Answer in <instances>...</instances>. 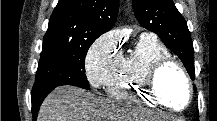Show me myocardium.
Listing matches in <instances>:
<instances>
[{
    "label": "myocardium",
    "instance_id": "myocardium-1",
    "mask_svg": "<svg viewBox=\"0 0 217 121\" xmlns=\"http://www.w3.org/2000/svg\"><path fill=\"white\" fill-rule=\"evenodd\" d=\"M169 67H174L181 73L187 86L188 98L185 105L181 108H175L172 105H170L168 102H166L163 99V97L160 95L158 90V84H157L158 77L160 73H162L165 69ZM145 87H146L147 94L155 103L159 104L162 107L167 108L172 112H182L186 110L193 100V85L189 74L187 73L186 69L180 62L176 61L171 57L163 58L155 62L149 68L145 77Z\"/></svg>",
    "mask_w": 217,
    "mask_h": 121
}]
</instances>
